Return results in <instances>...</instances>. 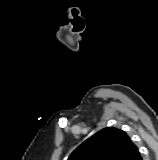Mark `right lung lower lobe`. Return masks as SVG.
Returning a JSON list of instances; mask_svg holds the SVG:
<instances>
[{"label": "right lung lower lobe", "mask_w": 158, "mask_h": 160, "mask_svg": "<svg viewBox=\"0 0 158 160\" xmlns=\"http://www.w3.org/2000/svg\"><path fill=\"white\" fill-rule=\"evenodd\" d=\"M138 160H142V157L140 156V157L138 158Z\"/></svg>", "instance_id": "right-lung-lower-lobe-1"}]
</instances>
